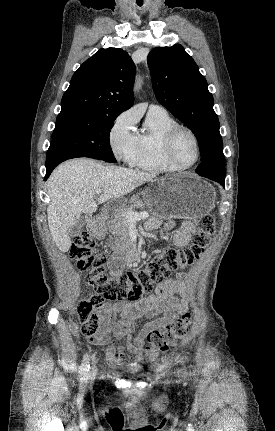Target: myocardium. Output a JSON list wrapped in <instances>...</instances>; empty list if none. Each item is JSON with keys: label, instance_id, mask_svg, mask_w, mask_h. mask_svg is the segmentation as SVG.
I'll use <instances>...</instances> for the list:
<instances>
[{"label": "myocardium", "instance_id": "1", "mask_svg": "<svg viewBox=\"0 0 275 431\" xmlns=\"http://www.w3.org/2000/svg\"><path fill=\"white\" fill-rule=\"evenodd\" d=\"M182 132H185L191 136V138L193 139L194 145H195V150H196V156H195L194 161L188 165L180 164L176 160V158L174 157V153H173L175 140H176L177 136ZM163 152H164V156H165L166 160L172 166H174L176 169H178V170L190 169L194 165H196L200 159V155H201L200 142H199V139H198L196 133L191 128L184 126V125H177V126L173 127L166 134L165 139H164Z\"/></svg>", "mask_w": 275, "mask_h": 431}]
</instances>
